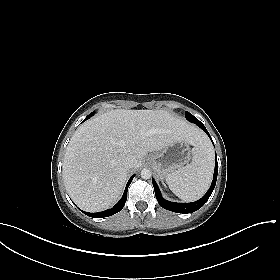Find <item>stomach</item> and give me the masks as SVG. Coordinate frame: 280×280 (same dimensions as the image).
I'll return each mask as SVG.
<instances>
[{
    "instance_id": "obj_1",
    "label": "stomach",
    "mask_w": 280,
    "mask_h": 280,
    "mask_svg": "<svg viewBox=\"0 0 280 280\" xmlns=\"http://www.w3.org/2000/svg\"><path fill=\"white\" fill-rule=\"evenodd\" d=\"M192 150L186 141H175L148 158V162L160 178H166L189 162Z\"/></svg>"
}]
</instances>
